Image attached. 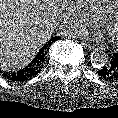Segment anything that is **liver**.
Segmentation results:
<instances>
[{
	"mask_svg": "<svg viewBox=\"0 0 118 118\" xmlns=\"http://www.w3.org/2000/svg\"><path fill=\"white\" fill-rule=\"evenodd\" d=\"M60 0H0V68L28 65L57 28Z\"/></svg>",
	"mask_w": 118,
	"mask_h": 118,
	"instance_id": "6515ba94",
	"label": "liver"
}]
</instances>
